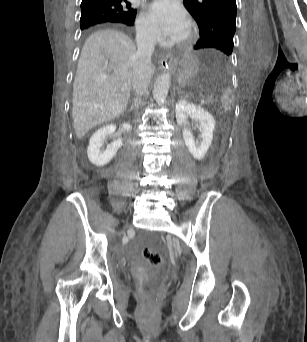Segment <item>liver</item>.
I'll return each instance as SVG.
<instances>
[{
  "label": "liver",
  "instance_id": "6515ba94",
  "mask_svg": "<svg viewBox=\"0 0 307 342\" xmlns=\"http://www.w3.org/2000/svg\"><path fill=\"white\" fill-rule=\"evenodd\" d=\"M132 40L118 30H99L87 38L73 84V124L77 138L126 110L132 88ZM155 72V66H152ZM107 74V78H102Z\"/></svg>",
  "mask_w": 307,
  "mask_h": 342
}]
</instances>
